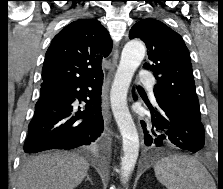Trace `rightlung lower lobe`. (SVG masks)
I'll list each match as a JSON object with an SVG mask.
<instances>
[{"label":"right lung lower lobe","mask_w":223,"mask_h":189,"mask_svg":"<svg viewBox=\"0 0 223 189\" xmlns=\"http://www.w3.org/2000/svg\"><path fill=\"white\" fill-rule=\"evenodd\" d=\"M103 75L87 82L42 87L28 127L25 153L94 145L103 132L101 90ZM86 103L85 110L76 100Z\"/></svg>","instance_id":"98d812e1"}]
</instances>
